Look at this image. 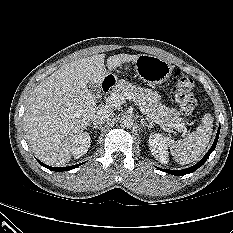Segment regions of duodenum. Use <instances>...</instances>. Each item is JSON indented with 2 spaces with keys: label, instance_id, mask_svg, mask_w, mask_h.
<instances>
[{
  "label": "duodenum",
  "instance_id": "obj_1",
  "mask_svg": "<svg viewBox=\"0 0 233 233\" xmlns=\"http://www.w3.org/2000/svg\"><path fill=\"white\" fill-rule=\"evenodd\" d=\"M114 84H115V80L113 78L106 77L101 84L102 92L104 94H107L112 89Z\"/></svg>",
  "mask_w": 233,
  "mask_h": 233
}]
</instances>
